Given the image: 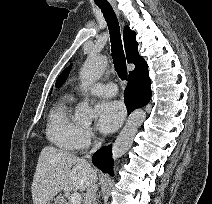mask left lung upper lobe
Wrapping results in <instances>:
<instances>
[{"instance_id": "5c2ea615", "label": "left lung upper lobe", "mask_w": 212, "mask_h": 204, "mask_svg": "<svg viewBox=\"0 0 212 204\" xmlns=\"http://www.w3.org/2000/svg\"><path fill=\"white\" fill-rule=\"evenodd\" d=\"M71 69V65L69 67H67L62 73L61 75L58 77L57 82H56V87H60L65 80L67 79L69 72Z\"/></svg>"}]
</instances>
